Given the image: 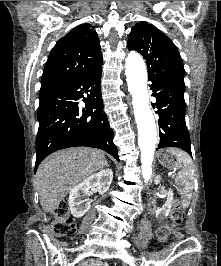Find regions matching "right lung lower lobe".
I'll return each mask as SVG.
<instances>
[{"mask_svg": "<svg viewBox=\"0 0 221 266\" xmlns=\"http://www.w3.org/2000/svg\"><path fill=\"white\" fill-rule=\"evenodd\" d=\"M101 68L102 64L39 97L35 169L49 154L75 146L102 149L119 161L103 111ZM81 98L83 109L78 106Z\"/></svg>", "mask_w": 221, "mask_h": 266, "instance_id": "right-lung-lower-lobe-1", "label": "right lung lower lobe"}]
</instances>
